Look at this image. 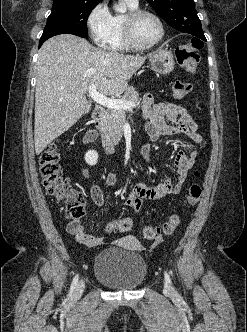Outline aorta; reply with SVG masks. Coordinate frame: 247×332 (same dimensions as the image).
<instances>
[{
  "label": "aorta",
  "instance_id": "1",
  "mask_svg": "<svg viewBox=\"0 0 247 332\" xmlns=\"http://www.w3.org/2000/svg\"><path fill=\"white\" fill-rule=\"evenodd\" d=\"M114 9L120 13H125L127 8L124 4H115Z\"/></svg>",
  "mask_w": 247,
  "mask_h": 332
}]
</instances>
